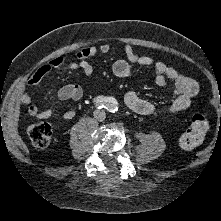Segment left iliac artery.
Listing matches in <instances>:
<instances>
[{
  "mask_svg": "<svg viewBox=\"0 0 221 221\" xmlns=\"http://www.w3.org/2000/svg\"><path fill=\"white\" fill-rule=\"evenodd\" d=\"M108 109L112 112H114L116 109H114V102L113 99L109 98V107Z\"/></svg>",
  "mask_w": 221,
  "mask_h": 221,
  "instance_id": "1",
  "label": "left iliac artery"
}]
</instances>
